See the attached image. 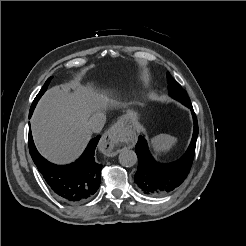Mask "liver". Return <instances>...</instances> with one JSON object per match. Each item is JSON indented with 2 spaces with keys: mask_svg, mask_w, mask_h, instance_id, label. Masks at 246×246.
<instances>
[{
  "mask_svg": "<svg viewBox=\"0 0 246 246\" xmlns=\"http://www.w3.org/2000/svg\"><path fill=\"white\" fill-rule=\"evenodd\" d=\"M114 104L106 95L76 83L48 89L31 119L39 152L54 163L73 161L90 139V116Z\"/></svg>",
  "mask_w": 246,
  "mask_h": 246,
  "instance_id": "6515ba94",
  "label": "liver"
}]
</instances>
